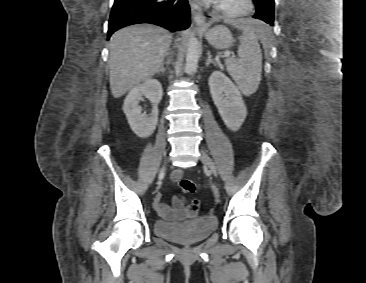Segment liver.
<instances>
[{"label": "liver", "mask_w": 366, "mask_h": 283, "mask_svg": "<svg viewBox=\"0 0 366 283\" xmlns=\"http://www.w3.org/2000/svg\"><path fill=\"white\" fill-rule=\"evenodd\" d=\"M238 29L243 26L233 24ZM268 30L261 28L259 31ZM172 34L153 24H137L116 31L109 43L110 89L119 98L150 79L169 51Z\"/></svg>", "instance_id": "liver-1"}]
</instances>
